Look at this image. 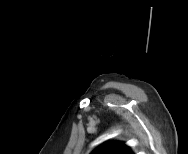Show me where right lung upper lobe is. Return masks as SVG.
I'll return each instance as SVG.
<instances>
[{
    "label": "right lung upper lobe",
    "mask_w": 188,
    "mask_h": 154,
    "mask_svg": "<svg viewBox=\"0 0 188 154\" xmlns=\"http://www.w3.org/2000/svg\"><path fill=\"white\" fill-rule=\"evenodd\" d=\"M92 154H133L122 142H109L98 147Z\"/></svg>",
    "instance_id": "right-lung-upper-lobe-1"
}]
</instances>
